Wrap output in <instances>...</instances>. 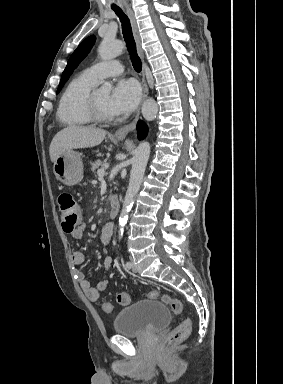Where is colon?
Listing matches in <instances>:
<instances>
[{
  "instance_id": "colon-1",
  "label": "colon",
  "mask_w": 283,
  "mask_h": 384,
  "mask_svg": "<svg viewBox=\"0 0 283 384\" xmlns=\"http://www.w3.org/2000/svg\"><path fill=\"white\" fill-rule=\"evenodd\" d=\"M58 206L61 216V225L65 232L71 233L81 222V212L74 197L67 192H63L58 197ZM150 299H160L168 305L175 315H181L184 311L182 302L166 293L158 290H151L147 293ZM131 301V295L126 292L117 294V302L121 305H127ZM102 310L106 313H111L113 306L110 302H103ZM190 319L183 320L176 328H174L163 340V345L166 347L173 346L183 341L190 333Z\"/></svg>"
}]
</instances>
